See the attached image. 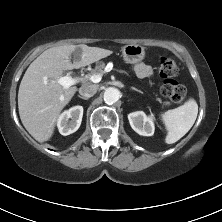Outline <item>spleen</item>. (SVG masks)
I'll use <instances>...</instances> for the list:
<instances>
[{
	"label": "spleen",
	"instance_id": "3e777b00",
	"mask_svg": "<svg viewBox=\"0 0 222 222\" xmlns=\"http://www.w3.org/2000/svg\"><path fill=\"white\" fill-rule=\"evenodd\" d=\"M198 114V104L189 99L183 105L161 114L167 135L165 142L173 144L180 140L193 126Z\"/></svg>",
	"mask_w": 222,
	"mask_h": 222
}]
</instances>
